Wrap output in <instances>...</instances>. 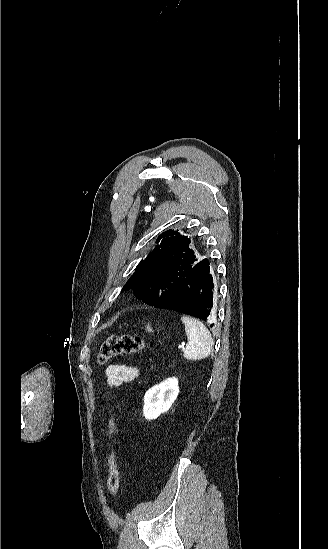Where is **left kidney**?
I'll return each mask as SVG.
<instances>
[{"label": "left kidney", "mask_w": 328, "mask_h": 549, "mask_svg": "<svg viewBox=\"0 0 328 549\" xmlns=\"http://www.w3.org/2000/svg\"><path fill=\"white\" fill-rule=\"evenodd\" d=\"M179 395L178 381L175 377L155 385L144 395L143 415L145 419H157L161 413L171 409Z\"/></svg>", "instance_id": "1"}]
</instances>
